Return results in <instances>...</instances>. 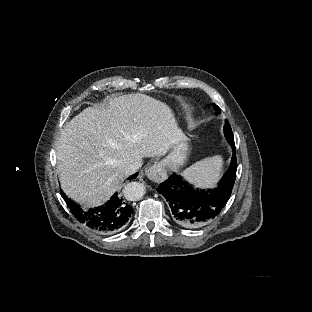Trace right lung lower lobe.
Masks as SVG:
<instances>
[{
    "instance_id": "obj_1",
    "label": "right lung lower lobe",
    "mask_w": 312,
    "mask_h": 312,
    "mask_svg": "<svg viewBox=\"0 0 312 312\" xmlns=\"http://www.w3.org/2000/svg\"><path fill=\"white\" fill-rule=\"evenodd\" d=\"M138 173L129 177L136 178ZM61 195L71 209L76 219L91 230L101 234H112L123 229L133 214V208L124 198L115 193L104 205L88 211L82 210L75 202L68 199L61 191Z\"/></svg>"
}]
</instances>
